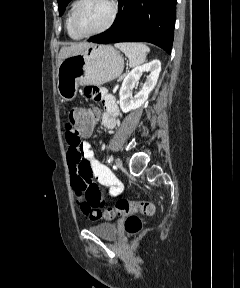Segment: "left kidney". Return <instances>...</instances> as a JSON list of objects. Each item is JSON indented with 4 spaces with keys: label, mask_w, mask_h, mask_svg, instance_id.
Here are the masks:
<instances>
[{
    "label": "left kidney",
    "mask_w": 240,
    "mask_h": 288,
    "mask_svg": "<svg viewBox=\"0 0 240 288\" xmlns=\"http://www.w3.org/2000/svg\"><path fill=\"white\" fill-rule=\"evenodd\" d=\"M145 72H149V78L143 84L142 89L133 97L131 89L133 85L138 83L142 73ZM160 72L161 62L155 59L149 63L135 67L130 73H128V75L124 78L119 91V104L124 113L138 109L147 101L150 92L157 84Z\"/></svg>",
    "instance_id": "5707ae66"
}]
</instances>
